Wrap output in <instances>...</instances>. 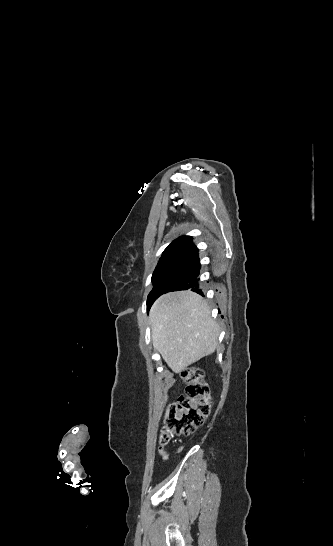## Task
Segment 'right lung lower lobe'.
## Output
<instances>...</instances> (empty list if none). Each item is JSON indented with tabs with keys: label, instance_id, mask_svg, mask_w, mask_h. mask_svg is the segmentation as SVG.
I'll return each instance as SVG.
<instances>
[{
	"label": "right lung lower lobe",
	"instance_id": "obj_1",
	"mask_svg": "<svg viewBox=\"0 0 333 546\" xmlns=\"http://www.w3.org/2000/svg\"><path fill=\"white\" fill-rule=\"evenodd\" d=\"M201 264L198 257V249L195 248L186 252V254L169 268L160 278L155 296L147 302V309L151 307L155 299L160 295L178 290L190 289L203 295L198 285V275Z\"/></svg>",
	"mask_w": 333,
	"mask_h": 546
}]
</instances>
